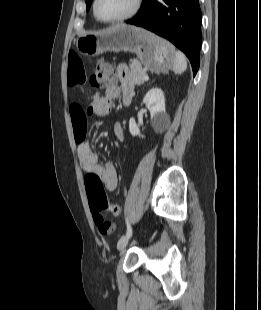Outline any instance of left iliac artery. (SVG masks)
<instances>
[{
  "instance_id": "1",
  "label": "left iliac artery",
  "mask_w": 261,
  "mask_h": 310,
  "mask_svg": "<svg viewBox=\"0 0 261 310\" xmlns=\"http://www.w3.org/2000/svg\"><path fill=\"white\" fill-rule=\"evenodd\" d=\"M126 225H127L126 235H127V237H130L132 235V229H131L130 223H129L127 218H126Z\"/></svg>"
}]
</instances>
